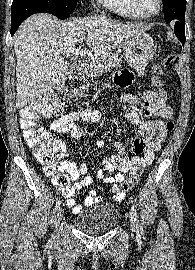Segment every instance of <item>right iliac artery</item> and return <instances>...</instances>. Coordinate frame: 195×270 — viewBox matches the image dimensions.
Segmentation results:
<instances>
[{
    "mask_svg": "<svg viewBox=\"0 0 195 270\" xmlns=\"http://www.w3.org/2000/svg\"><path fill=\"white\" fill-rule=\"evenodd\" d=\"M60 205H61V201H60V200H58V201L56 202V206H55V208H56V209L60 208Z\"/></svg>",
    "mask_w": 195,
    "mask_h": 270,
    "instance_id": "right-iliac-artery-1",
    "label": "right iliac artery"
}]
</instances>
